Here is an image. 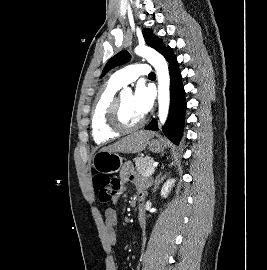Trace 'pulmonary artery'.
<instances>
[{"mask_svg": "<svg viewBox=\"0 0 267 270\" xmlns=\"http://www.w3.org/2000/svg\"><path fill=\"white\" fill-rule=\"evenodd\" d=\"M151 68L147 64H133L126 66L112 75V79L121 86L135 81L139 76L148 75Z\"/></svg>", "mask_w": 267, "mask_h": 270, "instance_id": "pulmonary-artery-1", "label": "pulmonary artery"}]
</instances>
